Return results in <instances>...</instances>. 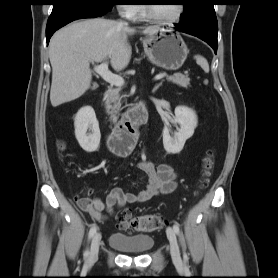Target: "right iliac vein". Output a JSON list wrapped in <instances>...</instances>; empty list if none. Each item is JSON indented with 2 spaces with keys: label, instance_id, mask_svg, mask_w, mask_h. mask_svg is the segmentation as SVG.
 I'll return each instance as SVG.
<instances>
[{
  "label": "right iliac vein",
  "instance_id": "right-iliac-vein-1",
  "mask_svg": "<svg viewBox=\"0 0 278 278\" xmlns=\"http://www.w3.org/2000/svg\"><path fill=\"white\" fill-rule=\"evenodd\" d=\"M100 241H101V234L96 233L91 242L90 253L88 258L89 265L94 264L98 259Z\"/></svg>",
  "mask_w": 278,
  "mask_h": 278
}]
</instances>
